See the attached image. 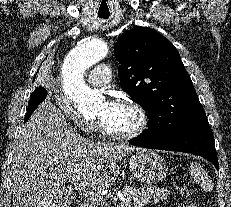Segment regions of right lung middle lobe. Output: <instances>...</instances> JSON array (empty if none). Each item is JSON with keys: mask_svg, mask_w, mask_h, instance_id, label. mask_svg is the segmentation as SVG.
I'll use <instances>...</instances> for the list:
<instances>
[{"mask_svg": "<svg viewBox=\"0 0 231 207\" xmlns=\"http://www.w3.org/2000/svg\"><path fill=\"white\" fill-rule=\"evenodd\" d=\"M44 89L42 87L36 88L35 91L31 94L30 100H34L35 98L42 96L44 94Z\"/></svg>", "mask_w": 231, "mask_h": 207, "instance_id": "obj_1", "label": "right lung middle lobe"}]
</instances>
